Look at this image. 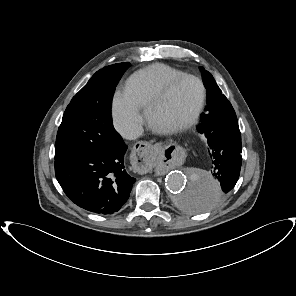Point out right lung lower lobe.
Returning a JSON list of instances; mask_svg holds the SVG:
<instances>
[{
    "label": "right lung lower lobe",
    "instance_id": "obj_1",
    "mask_svg": "<svg viewBox=\"0 0 296 296\" xmlns=\"http://www.w3.org/2000/svg\"><path fill=\"white\" fill-rule=\"evenodd\" d=\"M127 146L97 149L55 160V175L68 198L97 214L118 212L129 198L135 178L124 166Z\"/></svg>",
    "mask_w": 296,
    "mask_h": 296
}]
</instances>
